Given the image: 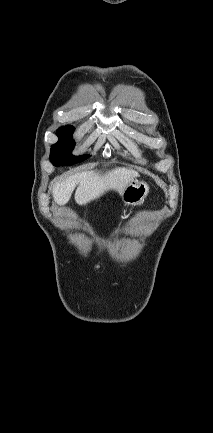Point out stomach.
<instances>
[{
  "label": "stomach",
  "instance_id": "stomach-1",
  "mask_svg": "<svg viewBox=\"0 0 213 433\" xmlns=\"http://www.w3.org/2000/svg\"><path fill=\"white\" fill-rule=\"evenodd\" d=\"M149 193V185L146 182L132 180L122 191L121 198L126 205H138L142 203Z\"/></svg>",
  "mask_w": 213,
  "mask_h": 433
}]
</instances>
